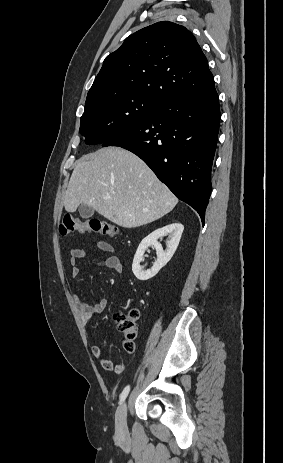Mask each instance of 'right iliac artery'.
I'll list each match as a JSON object with an SVG mask.
<instances>
[{"label":"right iliac artery","instance_id":"1","mask_svg":"<svg viewBox=\"0 0 283 463\" xmlns=\"http://www.w3.org/2000/svg\"><path fill=\"white\" fill-rule=\"evenodd\" d=\"M129 390H130V386H129V385L126 386V387L124 388V390H123L122 393L120 394V403H122V402L126 399L128 393H129Z\"/></svg>","mask_w":283,"mask_h":463}]
</instances>
